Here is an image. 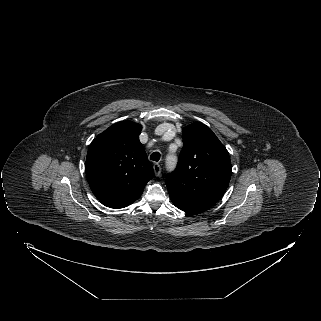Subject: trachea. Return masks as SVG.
Listing matches in <instances>:
<instances>
[{
	"label": "trachea",
	"instance_id": "3493384b",
	"mask_svg": "<svg viewBox=\"0 0 321 321\" xmlns=\"http://www.w3.org/2000/svg\"><path fill=\"white\" fill-rule=\"evenodd\" d=\"M160 157H161V155H160L159 152H153V153L150 155V159H151L152 161H156V162H158V161L160 160Z\"/></svg>",
	"mask_w": 321,
	"mask_h": 321
}]
</instances>
